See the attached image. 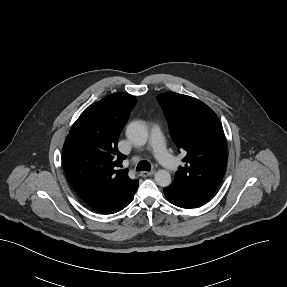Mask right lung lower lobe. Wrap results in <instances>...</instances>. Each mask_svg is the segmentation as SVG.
Instances as JSON below:
<instances>
[{"label":"right lung lower lobe","mask_w":287,"mask_h":287,"mask_svg":"<svg viewBox=\"0 0 287 287\" xmlns=\"http://www.w3.org/2000/svg\"><path fill=\"white\" fill-rule=\"evenodd\" d=\"M138 181L126 189L109 191L96 198L84 201L88 207L101 214H113L124 209L134 198Z\"/></svg>","instance_id":"right-lung-lower-lobe-1"}]
</instances>
